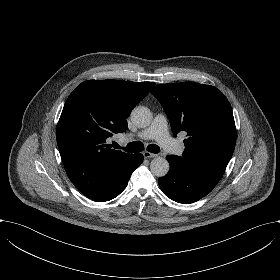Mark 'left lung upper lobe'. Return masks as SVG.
Wrapping results in <instances>:
<instances>
[{"instance_id":"1","label":"left lung upper lobe","mask_w":280,"mask_h":280,"mask_svg":"<svg viewBox=\"0 0 280 280\" xmlns=\"http://www.w3.org/2000/svg\"><path fill=\"white\" fill-rule=\"evenodd\" d=\"M151 93L163 106L173 134L187 133L182 160L225 171L235 148L236 127L224 94L194 82L159 84Z\"/></svg>"}]
</instances>
